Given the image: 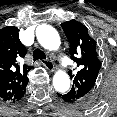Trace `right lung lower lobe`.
I'll return each mask as SVG.
<instances>
[{
  "mask_svg": "<svg viewBox=\"0 0 117 117\" xmlns=\"http://www.w3.org/2000/svg\"><path fill=\"white\" fill-rule=\"evenodd\" d=\"M25 88H26V86H25ZM25 88L22 90V92L13 101L20 100L23 97V95L25 94Z\"/></svg>",
  "mask_w": 117,
  "mask_h": 117,
  "instance_id": "98d812e1",
  "label": "right lung lower lobe"
}]
</instances>
